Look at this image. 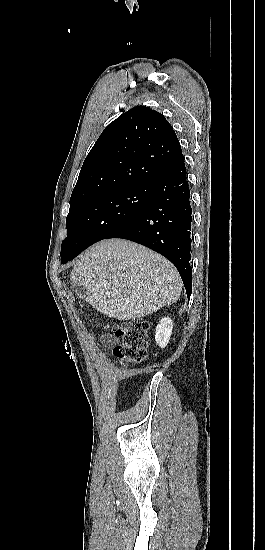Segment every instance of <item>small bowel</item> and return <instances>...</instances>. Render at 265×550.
Listing matches in <instances>:
<instances>
[{"label":"small bowel","mask_w":265,"mask_h":550,"mask_svg":"<svg viewBox=\"0 0 265 550\" xmlns=\"http://www.w3.org/2000/svg\"><path fill=\"white\" fill-rule=\"evenodd\" d=\"M101 342L104 345H111V344H114L116 340L113 339L111 336H103L101 337Z\"/></svg>","instance_id":"small-bowel-1"}]
</instances>
